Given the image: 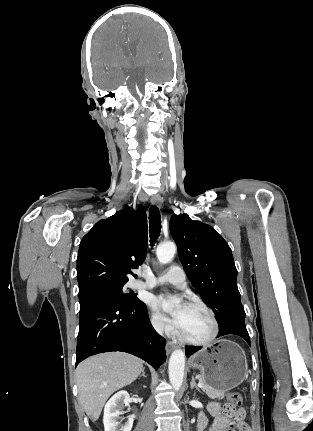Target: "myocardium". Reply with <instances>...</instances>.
<instances>
[{
	"mask_svg": "<svg viewBox=\"0 0 313 431\" xmlns=\"http://www.w3.org/2000/svg\"><path fill=\"white\" fill-rule=\"evenodd\" d=\"M187 306L204 310L209 315V317L212 321L213 332L208 339L201 340V341L189 339L186 336H184L180 331L178 332V338L183 343H186V344L192 345V346H208V345L212 344L216 340V338L218 337L219 332H220V325H219V321L217 319L215 312L206 304H204L202 302H198V301H191L187 304Z\"/></svg>",
	"mask_w": 313,
	"mask_h": 431,
	"instance_id": "1",
	"label": "myocardium"
}]
</instances>
